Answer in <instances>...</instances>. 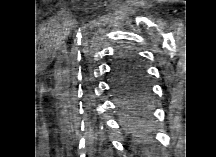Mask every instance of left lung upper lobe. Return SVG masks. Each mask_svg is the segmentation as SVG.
Here are the masks:
<instances>
[{
    "mask_svg": "<svg viewBox=\"0 0 216 157\" xmlns=\"http://www.w3.org/2000/svg\"><path fill=\"white\" fill-rule=\"evenodd\" d=\"M115 79L123 84L134 88L133 108L145 104L149 94V85L143 65L129 50L122 51L114 64Z\"/></svg>",
    "mask_w": 216,
    "mask_h": 157,
    "instance_id": "1",
    "label": "left lung upper lobe"
}]
</instances>
